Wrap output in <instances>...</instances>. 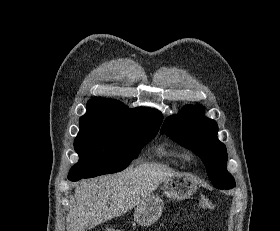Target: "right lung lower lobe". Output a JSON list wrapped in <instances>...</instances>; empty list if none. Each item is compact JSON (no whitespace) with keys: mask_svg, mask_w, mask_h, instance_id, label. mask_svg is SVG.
Returning <instances> with one entry per match:
<instances>
[{"mask_svg":"<svg viewBox=\"0 0 280 231\" xmlns=\"http://www.w3.org/2000/svg\"><path fill=\"white\" fill-rule=\"evenodd\" d=\"M82 178L83 177H81V176H68V179L71 180V181H78Z\"/></svg>","mask_w":280,"mask_h":231,"instance_id":"right-lung-lower-lobe-1","label":"right lung lower lobe"}]
</instances>
